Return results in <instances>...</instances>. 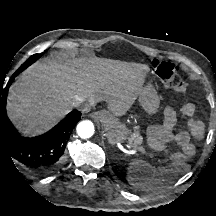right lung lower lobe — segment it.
Wrapping results in <instances>:
<instances>
[{"mask_svg": "<svg viewBox=\"0 0 216 216\" xmlns=\"http://www.w3.org/2000/svg\"><path fill=\"white\" fill-rule=\"evenodd\" d=\"M16 75L14 73L6 88L0 91V157L17 161L37 175L51 174L62 162L66 143L81 113L70 112L62 122L43 135L32 138L20 136L6 114L8 89Z\"/></svg>", "mask_w": 216, "mask_h": 216, "instance_id": "right-lung-lower-lobe-1", "label": "right lung lower lobe"}]
</instances>
